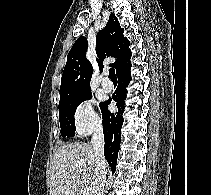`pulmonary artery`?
Returning <instances> with one entry per match:
<instances>
[{"mask_svg": "<svg viewBox=\"0 0 211 195\" xmlns=\"http://www.w3.org/2000/svg\"><path fill=\"white\" fill-rule=\"evenodd\" d=\"M101 85H102V88L106 92H110L113 89V84L111 80L109 79L108 74L106 72L104 73V76L102 78Z\"/></svg>", "mask_w": 211, "mask_h": 195, "instance_id": "pulmonary-artery-1", "label": "pulmonary artery"}]
</instances>
